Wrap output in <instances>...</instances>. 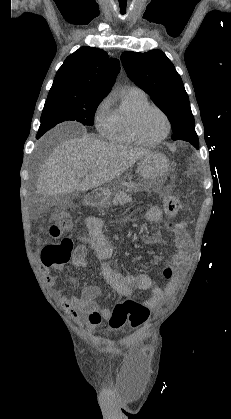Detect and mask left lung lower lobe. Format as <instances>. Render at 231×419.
<instances>
[{"label":"left lung lower lobe","instance_id":"1","mask_svg":"<svg viewBox=\"0 0 231 419\" xmlns=\"http://www.w3.org/2000/svg\"><path fill=\"white\" fill-rule=\"evenodd\" d=\"M194 147L197 148V149L199 148V146H194Z\"/></svg>","mask_w":231,"mask_h":419}]
</instances>
